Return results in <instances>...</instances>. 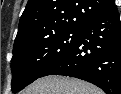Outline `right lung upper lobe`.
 I'll use <instances>...</instances> for the list:
<instances>
[{"label": "right lung upper lobe", "mask_w": 121, "mask_h": 94, "mask_svg": "<svg viewBox=\"0 0 121 94\" xmlns=\"http://www.w3.org/2000/svg\"><path fill=\"white\" fill-rule=\"evenodd\" d=\"M114 5V0H29L19 21L14 45L32 33L79 29L85 21Z\"/></svg>", "instance_id": "1"}]
</instances>
